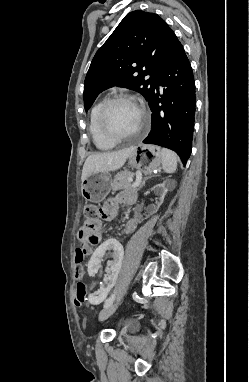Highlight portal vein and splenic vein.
<instances>
[{"instance_id":"obj_1","label":"portal vein and splenic vein","mask_w":249,"mask_h":382,"mask_svg":"<svg viewBox=\"0 0 249 382\" xmlns=\"http://www.w3.org/2000/svg\"><path fill=\"white\" fill-rule=\"evenodd\" d=\"M128 181H129V182H132V181H133V178H128ZM139 184H140V180L137 179V180L135 181V183L132 185V187H137V186H139Z\"/></svg>"}]
</instances>
